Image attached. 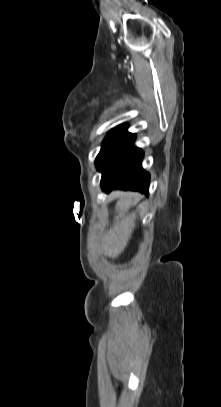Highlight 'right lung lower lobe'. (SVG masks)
<instances>
[{"label": "right lung lower lobe", "mask_w": 221, "mask_h": 407, "mask_svg": "<svg viewBox=\"0 0 221 407\" xmlns=\"http://www.w3.org/2000/svg\"><path fill=\"white\" fill-rule=\"evenodd\" d=\"M134 135L101 171V186L105 191L113 188L140 191L149 194V174L141 166L144 153L133 145Z\"/></svg>", "instance_id": "1"}]
</instances>
